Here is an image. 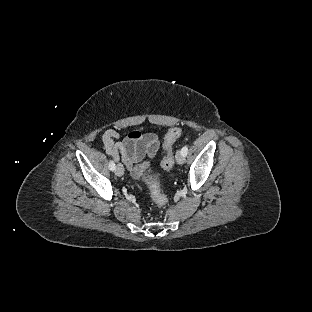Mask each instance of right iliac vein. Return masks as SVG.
<instances>
[{
	"label": "right iliac vein",
	"instance_id": "obj_1",
	"mask_svg": "<svg viewBox=\"0 0 312 312\" xmlns=\"http://www.w3.org/2000/svg\"><path fill=\"white\" fill-rule=\"evenodd\" d=\"M115 174L117 176H122L124 174L123 165L121 163H118L115 169Z\"/></svg>",
	"mask_w": 312,
	"mask_h": 312
}]
</instances>
